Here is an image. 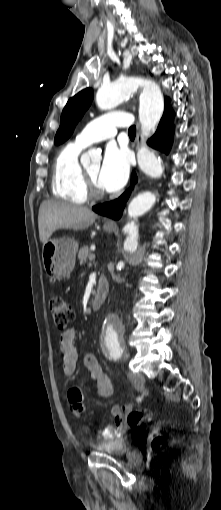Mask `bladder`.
<instances>
[{"label": "bladder", "mask_w": 221, "mask_h": 510, "mask_svg": "<svg viewBox=\"0 0 221 510\" xmlns=\"http://www.w3.org/2000/svg\"><path fill=\"white\" fill-rule=\"evenodd\" d=\"M135 447L134 439L123 436L119 439L108 441L103 440L94 445V449L112 456H125Z\"/></svg>", "instance_id": "31cf9c89"}]
</instances>
